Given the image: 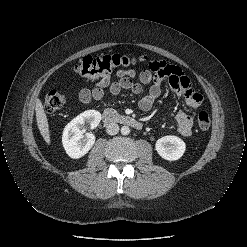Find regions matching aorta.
Masks as SVG:
<instances>
[{
    "label": "aorta",
    "instance_id": "1",
    "mask_svg": "<svg viewBox=\"0 0 247 247\" xmlns=\"http://www.w3.org/2000/svg\"><path fill=\"white\" fill-rule=\"evenodd\" d=\"M130 133V128L128 126H122L121 127V134L122 135H128Z\"/></svg>",
    "mask_w": 247,
    "mask_h": 247
}]
</instances>
